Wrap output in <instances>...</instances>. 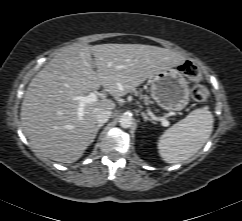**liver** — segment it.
<instances>
[{"label":"liver","mask_w":242,"mask_h":221,"mask_svg":"<svg viewBox=\"0 0 242 221\" xmlns=\"http://www.w3.org/2000/svg\"><path fill=\"white\" fill-rule=\"evenodd\" d=\"M185 60L180 53L151 45H70L29 83L21 106L24 133L42 156L73 163L95 138L96 110L116 107L114 101L103 97L85 104L79 119V103L74 96L102 86L110 95L122 97L154 74L182 65Z\"/></svg>","instance_id":"obj_1"}]
</instances>
